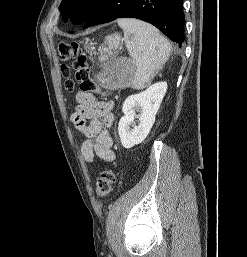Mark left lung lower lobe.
Listing matches in <instances>:
<instances>
[{
  "mask_svg": "<svg viewBox=\"0 0 247 257\" xmlns=\"http://www.w3.org/2000/svg\"><path fill=\"white\" fill-rule=\"evenodd\" d=\"M183 0H101L84 22L83 29L131 17L151 23L169 39L184 42Z\"/></svg>",
  "mask_w": 247,
  "mask_h": 257,
  "instance_id": "obj_1",
  "label": "left lung lower lobe"
}]
</instances>
